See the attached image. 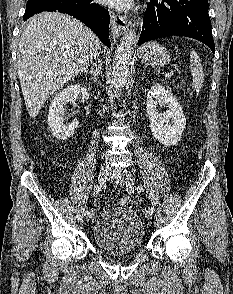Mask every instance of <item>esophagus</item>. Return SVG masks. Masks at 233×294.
<instances>
[{
	"instance_id": "1",
	"label": "esophagus",
	"mask_w": 233,
	"mask_h": 294,
	"mask_svg": "<svg viewBox=\"0 0 233 294\" xmlns=\"http://www.w3.org/2000/svg\"><path fill=\"white\" fill-rule=\"evenodd\" d=\"M112 34L114 37H119L128 29V23L124 16L111 14Z\"/></svg>"
}]
</instances>
